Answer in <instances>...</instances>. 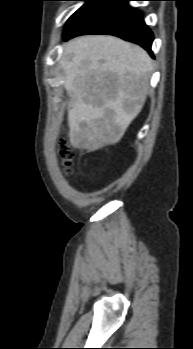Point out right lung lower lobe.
Masks as SVG:
<instances>
[{
    "mask_svg": "<svg viewBox=\"0 0 193 349\" xmlns=\"http://www.w3.org/2000/svg\"><path fill=\"white\" fill-rule=\"evenodd\" d=\"M129 1L105 0L67 30L64 40L83 34H109L142 46L153 57V34Z\"/></svg>",
    "mask_w": 193,
    "mask_h": 349,
    "instance_id": "right-lung-lower-lobe-1",
    "label": "right lung lower lobe"
}]
</instances>
